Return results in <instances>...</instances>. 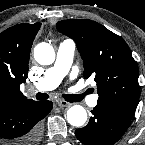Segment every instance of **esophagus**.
<instances>
[{"instance_id": "34e87169", "label": "esophagus", "mask_w": 145, "mask_h": 145, "mask_svg": "<svg viewBox=\"0 0 145 145\" xmlns=\"http://www.w3.org/2000/svg\"><path fill=\"white\" fill-rule=\"evenodd\" d=\"M58 106L60 107H69L71 104L65 100H58L57 101Z\"/></svg>"}]
</instances>
